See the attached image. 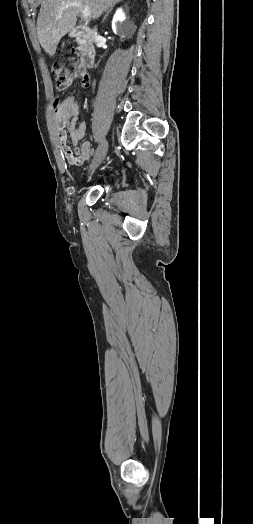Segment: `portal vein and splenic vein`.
Listing matches in <instances>:
<instances>
[{
	"instance_id": "1",
	"label": "portal vein and splenic vein",
	"mask_w": 253,
	"mask_h": 524,
	"mask_svg": "<svg viewBox=\"0 0 253 524\" xmlns=\"http://www.w3.org/2000/svg\"><path fill=\"white\" fill-rule=\"evenodd\" d=\"M69 7H76L78 9V11L81 12L82 17L84 19H88V18L91 17L90 8L88 6L80 3V2H72V3L64 4V5H62L61 10L67 9Z\"/></svg>"
}]
</instances>
